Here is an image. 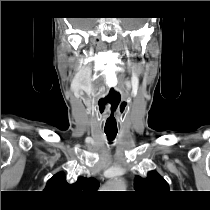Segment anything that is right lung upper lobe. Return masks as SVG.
<instances>
[{
	"mask_svg": "<svg viewBox=\"0 0 210 210\" xmlns=\"http://www.w3.org/2000/svg\"><path fill=\"white\" fill-rule=\"evenodd\" d=\"M99 186L95 178L80 177L75 183H68L63 172L51 177L46 185L45 191L58 198H66L79 190H96Z\"/></svg>",
	"mask_w": 210,
	"mask_h": 210,
	"instance_id": "right-lung-upper-lobe-1",
	"label": "right lung upper lobe"
}]
</instances>
